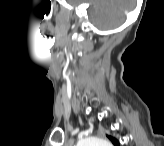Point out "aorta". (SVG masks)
<instances>
[{"instance_id": "762f6f07", "label": "aorta", "mask_w": 164, "mask_h": 146, "mask_svg": "<svg viewBox=\"0 0 164 146\" xmlns=\"http://www.w3.org/2000/svg\"><path fill=\"white\" fill-rule=\"evenodd\" d=\"M79 146H109V142L101 138L89 137L80 141Z\"/></svg>"}]
</instances>
